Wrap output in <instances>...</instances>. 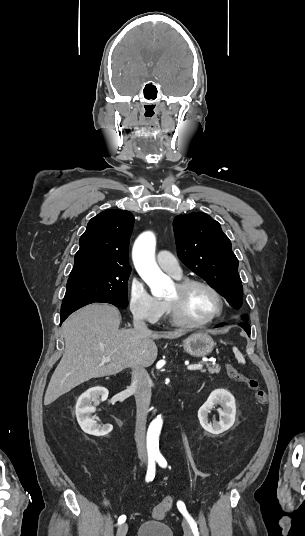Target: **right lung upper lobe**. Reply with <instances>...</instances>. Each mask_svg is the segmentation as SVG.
Masks as SVG:
<instances>
[{"instance_id": "cb5924a9", "label": "right lung upper lobe", "mask_w": 305, "mask_h": 536, "mask_svg": "<svg viewBox=\"0 0 305 536\" xmlns=\"http://www.w3.org/2000/svg\"><path fill=\"white\" fill-rule=\"evenodd\" d=\"M134 216L126 210H107L93 217L79 240L69 277L113 271H131L129 238Z\"/></svg>"}]
</instances>
